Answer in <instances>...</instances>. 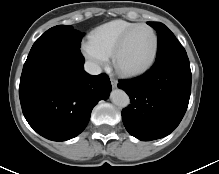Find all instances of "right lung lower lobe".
<instances>
[{"instance_id":"1","label":"right lung lower lobe","mask_w":219,"mask_h":174,"mask_svg":"<svg viewBox=\"0 0 219 174\" xmlns=\"http://www.w3.org/2000/svg\"><path fill=\"white\" fill-rule=\"evenodd\" d=\"M84 61L80 50L61 48L23 66L22 111L29 125L46 139L66 141L79 135L94 106L109 96L108 76L87 74Z\"/></svg>"}]
</instances>
